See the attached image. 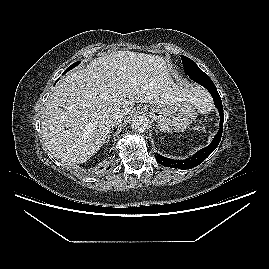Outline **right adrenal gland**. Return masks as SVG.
I'll return each mask as SVG.
<instances>
[{
  "instance_id": "2a0ac1e0",
  "label": "right adrenal gland",
  "mask_w": 269,
  "mask_h": 269,
  "mask_svg": "<svg viewBox=\"0 0 269 269\" xmlns=\"http://www.w3.org/2000/svg\"><path fill=\"white\" fill-rule=\"evenodd\" d=\"M111 133H112V130L109 132L107 142H109V141H110Z\"/></svg>"
}]
</instances>
